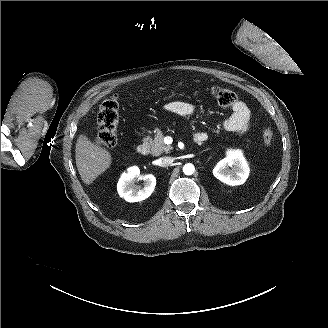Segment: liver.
Masks as SVG:
<instances>
[{
  "label": "liver",
  "mask_w": 328,
  "mask_h": 328,
  "mask_svg": "<svg viewBox=\"0 0 328 328\" xmlns=\"http://www.w3.org/2000/svg\"><path fill=\"white\" fill-rule=\"evenodd\" d=\"M75 159L81 179L87 185H90L111 164L110 153L92 143L84 135H80L77 139Z\"/></svg>",
  "instance_id": "1"
}]
</instances>
